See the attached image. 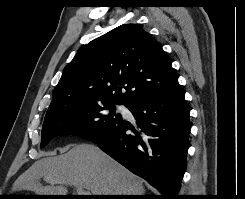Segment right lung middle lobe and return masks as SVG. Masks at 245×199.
<instances>
[{"instance_id":"1","label":"right lung middle lobe","mask_w":245,"mask_h":199,"mask_svg":"<svg viewBox=\"0 0 245 199\" xmlns=\"http://www.w3.org/2000/svg\"><path fill=\"white\" fill-rule=\"evenodd\" d=\"M115 105L117 103L112 102L79 104L46 116L40 147L46 146L54 137L66 134L92 139L122 118L115 112Z\"/></svg>"}]
</instances>
